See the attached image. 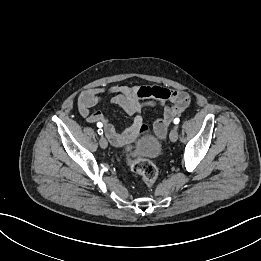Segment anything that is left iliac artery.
I'll use <instances>...</instances> for the list:
<instances>
[{"label":"left iliac artery","instance_id":"44dca946","mask_svg":"<svg viewBox=\"0 0 261 261\" xmlns=\"http://www.w3.org/2000/svg\"><path fill=\"white\" fill-rule=\"evenodd\" d=\"M179 121H180V119H179V118H175V119H174V124H178V123H179Z\"/></svg>","mask_w":261,"mask_h":261}]
</instances>
